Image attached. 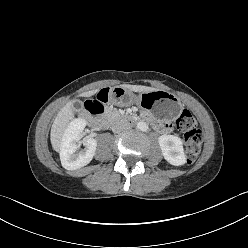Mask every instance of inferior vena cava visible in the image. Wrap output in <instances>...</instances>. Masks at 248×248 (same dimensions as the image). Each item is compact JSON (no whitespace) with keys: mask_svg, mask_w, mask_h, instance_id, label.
<instances>
[{"mask_svg":"<svg viewBox=\"0 0 248 248\" xmlns=\"http://www.w3.org/2000/svg\"><path fill=\"white\" fill-rule=\"evenodd\" d=\"M127 128H128V125L123 122H116L112 125V131L114 133H120Z\"/></svg>","mask_w":248,"mask_h":248,"instance_id":"602c4592","label":"inferior vena cava"}]
</instances>
